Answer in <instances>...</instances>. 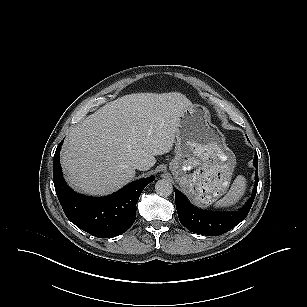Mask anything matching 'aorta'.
<instances>
[{
	"label": "aorta",
	"instance_id": "1",
	"mask_svg": "<svg viewBox=\"0 0 307 307\" xmlns=\"http://www.w3.org/2000/svg\"><path fill=\"white\" fill-rule=\"evenodd\" d=\"M155 191L158 195L167 197L173 192V185L167 179H160L155 184Z\"/></svg>",
	"mask_w": 307,
	"mask_h": 307
}]
</instances>
